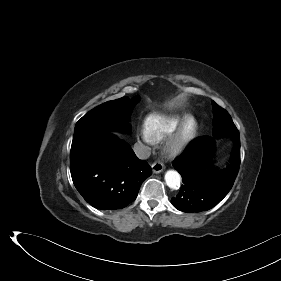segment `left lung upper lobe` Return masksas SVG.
Instances as JSON below:
<instances>
[{
	"instance_id": "1",
	"label": "left lung upper lobe",
	"mask_w": 281,
	"mask_h": 281,
	"mask_svg": "<svg viewBox=\"0 0 281 281\" xmlns=\"http://www.w3.org/2000/svg\"><path fill=\"white\" fill-rule=\"evenodd\" d=\"M213 106V134L214 136H230L235 135L238 130L235 127L231 116L228 112L218 106L214 101L212 102Z\"/></svg>"
}]
</instances>
